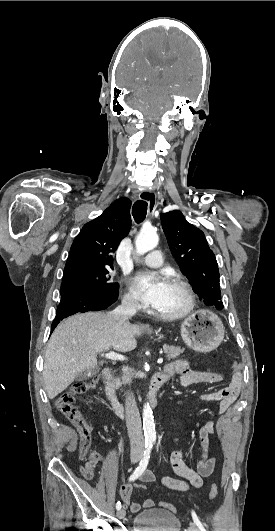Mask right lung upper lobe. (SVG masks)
I'll return each instance as SVG.
<instances>
[{
	"label": "right lung upper lobe",
	"mask_w": 275,
	"mask_h": 531,
	"mask_svg": "<svg viewBox=\"0 0 275 531\" xmlns=\"http://www.w3.org/2000/svg\"><path fill=\"white\" fill-rule=\"evenodd\" d=\"M131 201L121 197L86 223L70 249L64 272L86 267H113V253L131 227Z\"/></svg>",
	"instance_id": "cb5924a9"
}]
</instances>
